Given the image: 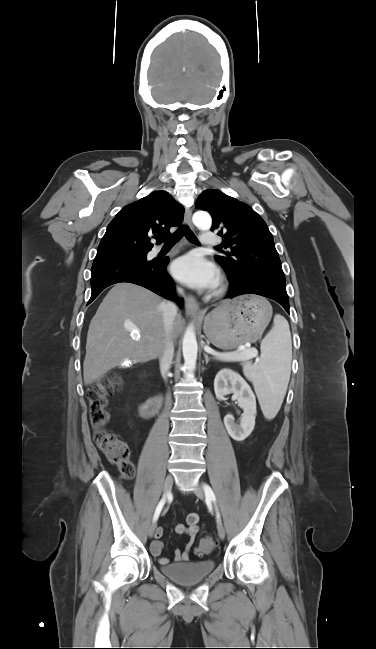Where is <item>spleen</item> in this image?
<instances>
[{"mask_svg": "<svg viewBox=\"0 0 376 649\" xmlns=\"http://www.w3.org/2000/svg\"><path fill=\"white\" fill-rule=\"evenodd\" d=\"M261 360L244 375L253 383L261 409L267 419L280 410L291 373L292 342L287 320L277 314L271 331L261 342Z\"/></svg>", "mask_w": 376, "mask_h": 649, "instance_id": "3e777b00", "label": "spleen"}]
</instances>
